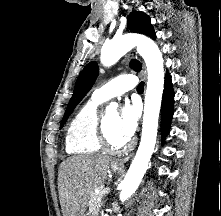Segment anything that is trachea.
<instances>
[{"label":"trachea","instance_id":"1","mask_svg":"<svg viewBox=\"0 0 221 216\" xmlns=\"http://www.w3.org/2000/svg\"><path fill=\"white\" fill-rule=\"evenodd\" d=\"M144 90V82H140L138 87H137V91L138 92H143Z\"/></svg>","mask_w":221,"mask_h":216}]
</instances>
